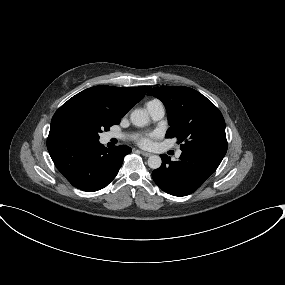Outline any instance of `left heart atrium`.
I'll use <instances>...</instances> for the list:
<instances>
[{"label": "left heart atrium", "instance_id": "obj_1", "mask_svg": "<svg viewBox=\"0 0 285 285\" xmlns=\"http://www.w3.org/2000/svg\"><path fill=\"white\" fill-rule=\"evenodd\" d=\"M137 142L140 146L147 147L150 144V138L149 137H140V138H138Z\"/></svg>", "mask_w": 285, "mask_h": 285}]
</instances>
